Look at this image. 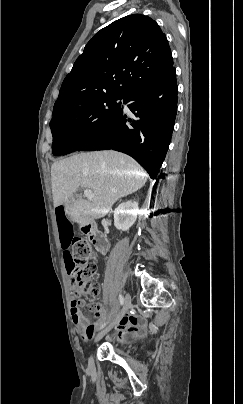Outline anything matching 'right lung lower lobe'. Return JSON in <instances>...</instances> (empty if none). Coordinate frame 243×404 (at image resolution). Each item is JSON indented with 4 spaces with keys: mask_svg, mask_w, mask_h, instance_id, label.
Listing matches in <instances>:
<instances>
[{
    "mask_svg": "<svg viewBox=\"0 0 243 404\" xmlns=\"http://www.w3.org/2000/svg\"><path fill=\"white\" fill-rule=\"evenodd\" d=\"M175 67L123 98L134 114L116 116L77 151L113 149L132 156L155 179L166 156L177 113ZM130 122V123H128ZM161 177V175H159Z\"/></svg>",
    "mask_w": 243,
    "mask_h": 404,
    "instance_id": "1",
    "label": "right lung lower lobe"
}]
</instances>
